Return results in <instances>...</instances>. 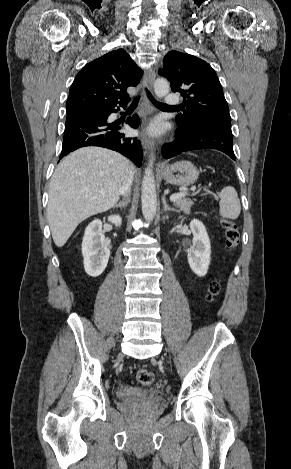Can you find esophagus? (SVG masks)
I'll return each mask as SVG.
<instances>
[{
  "instance_id": "obj_1",
  "label": "esophagus",
  "mask_w": 291,
  "mask_h": 469,
  "mask_svg": "<svg viewBox=\"0 0 291 469\" xmlns=\"http://www.w3.org/2000/svg\"><path fill=\"white\" fill-rule=\"evenodd\" d=\"M155 76H156V73H155V69L154 68H150L149 70H147L145 72V75H144V85L151 91L152 88H153V83H154V80H155ZM143 120H142V126H141V134H140V141H141V144L143 145L144 147V150H145V153L148 154L149 152L153 151L154 149V143L153 141L144 133V126L146 124V120L148 118V115L150 114L151 112V105H150V101L146 95V93L144 92L143 93Z\"/></svg>"
}]
</instances>
